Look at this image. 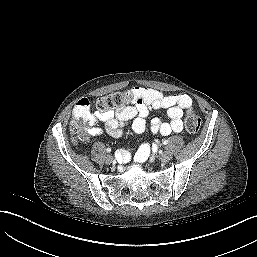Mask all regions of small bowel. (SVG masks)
Instances as JSON below:
<instances>
[{"mask_svg":"<svg viewBox=\"0 0 257 257\" xmlns=\"http://www.w3.org/2000/svg\"><path fill=\"white\" fill-rule=\"evenodd\" d=\"M134 96L131 105L125 106L116 112L91 113L93 125L96 121L104 123L106 133L118 138L125 125L131 124L135 133L141 134L146 128V118L151 109L166 110L169 121L164 122L159 118L150 121V130L153 134L168 136L172 133H180L183 130L182 116L185 110L192 106V99L186 94L164 95L152 88L135 87L131 90ZM102 133L99 127H91L87 134L98 136ZM87 140V139H85ZM152 152L149 144H143L137 150L134 160L142 163L148 159ZM118 159L124 162L129 158V152L125 149L118 151Z\"/></svg>","mask_w":257,"mask_h":257,"instance_id":"c3829d8e","label":"small bowel"}]
</instances>
